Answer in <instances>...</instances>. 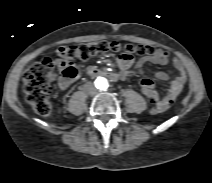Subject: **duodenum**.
<instances>
[{
	"label": "duodenum",
	"mask_w": 212,
	"mask_h": 183,
	"mask_svg": "<svg viewBox=\"0 0 212 183\" xmlns=\"http://www.w3.org/2000/svg\"><path fill=\"white\" fill-rule=\"evenodd\" d=\"M87 74L91 77L105 76L114 81H117L120 79V74L112 72V71H108L102 68H98V67L88 68Z\"/></svg>",
	"instance_id": "1"
}]
</instances>
